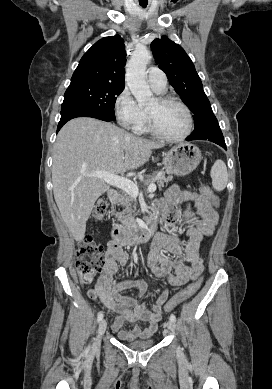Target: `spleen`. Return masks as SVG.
Here are the masks:
<instances>
[{"label":"spleen","mask_w":272,"mask_h":389,"mask_svg":"<svg viewBox=\"0 0 272 389\" xmlns=\"http://www.w3.org/2000/svg\"><path fill=\"white\" fill-rule=\"evenodd\" d=\"M210 175L212 178V186L216 191L225 189L228 182L227 167L222 160H216L211 167Z\"/></svg>","instance_id":"3e777b00"}]
</instances>
